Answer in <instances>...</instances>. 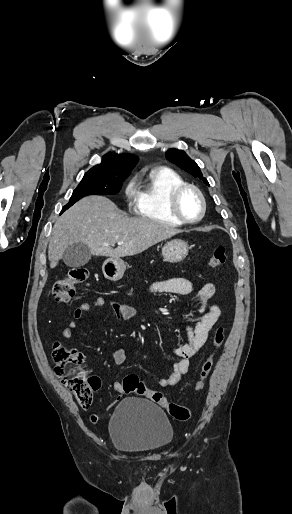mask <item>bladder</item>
I'll list each match as a JSON object with an SVG mask.
<instances>
[{"label": "bladder", "mask_w": 292, "mask_h": 514, "mask_svg": "<svg viewBox=\"0 0 292 514\" xmlns=\"http://www.w3.org/2000/svg\"><path fill=\"white\" fill-rule=\"evenodd\" d=\"M109 430L115 448L125 453L156 452L174 438L173 426L164 411L138 398H127L117 405Z\"/></svg>", "instance_id": "1"}]
</instances>
